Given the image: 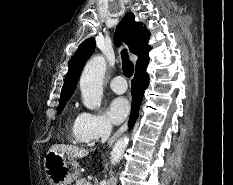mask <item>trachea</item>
<instances>
[{"label": "trachea", "mask_w": 233, "mask_h": 185, "mask_svg": "<svg viewBox=\"0 0 233 185\" xmlns=\"http://www.w3.org/2000/svg\"><path fill=\"white\" fill-rule=\"evenodd\" d=\"M121 56H122V62H123V66H122L123 73L126 77L130 78L134 72V65L129 60V56H128V53L126 52V50H123L121 52Z\"/></svg>", "instance_id": "obj_1"}]
</instances>
